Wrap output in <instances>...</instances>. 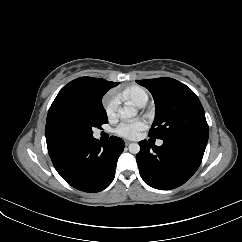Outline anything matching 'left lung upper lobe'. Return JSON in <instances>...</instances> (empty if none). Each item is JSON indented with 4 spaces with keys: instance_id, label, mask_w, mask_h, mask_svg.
<instances>
[{
    "instance_id": "1",
    "label": "left lung upper lobe",
    "mask_w": 242,
    "mask_h": 242,
    "mask_svg": "<svg viewBox=\"0 0 242 242\" xmlns=\"http://www.w3.org/2000/svg\"><path fill=\"white\" fill-rule=\"evenodd\" d=\"M153 95L156 110L149 136L163 141L208 140L209 127L196 94L168 77L137 80Z\"/></svg>"
}]
</instances>
